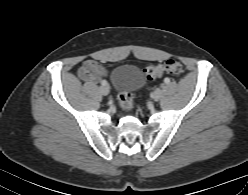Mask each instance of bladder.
<instances>
[{
	"instance_id": "obj_1",
	"label": "bladder",
	"mask_w": 248,
	"mask_h": 195,
	"mask_svg": "<svg viewBox=\"0 0 248 195\" xmlns=\"http://www.w3.org/2000/svg\"><path fill=\"white\" fill-rule=\"evenodd\" d=\"M112 83L116 90L132 93L143 86L144 76L137 66L123 64L113 70Z\"/></svg>"
}]
</instances>
